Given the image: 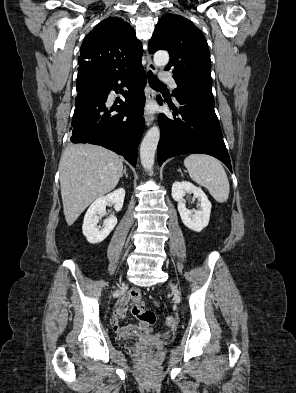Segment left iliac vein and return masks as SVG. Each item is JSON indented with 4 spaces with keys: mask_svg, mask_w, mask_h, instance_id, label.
Here are the masks:
<instances>
[{
    "mask_svg": "<svg viewBox=\"0 0 296 393\" xmlns=\"http://www.w3.org/2000/svg\"><path fill=\"white\" fill-rule=\"evenodd\" d=\"M170 286H171V289H172V292L174 293V295L178 296L179 291H178L177 287L173 283H171Z\"/></svg>",
    "mask_w": 296,
    "mask_h": 393,
    "instance_id": "obj_1",
    "label": "left iliac vein"
}]
</instances>
